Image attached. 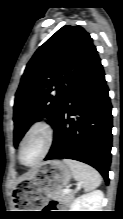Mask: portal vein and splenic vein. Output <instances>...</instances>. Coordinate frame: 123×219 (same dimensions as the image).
<instances>
[{"label": "portal vein and splenic vein", "instance_id": "obj_1", "mask_svg": "<svg viewBox=\"0 0 123 219\" xmlns=\"http://www.w3.org/2000/svg\"><path fill=\"white\" fill-rule=\"evenodd\" d=\"M63 192H64L65 194H68V193L71 192V190H70V189H64Z\"/></svg>", "mask_w": 123, "mask_h": 219}]
</instances>
